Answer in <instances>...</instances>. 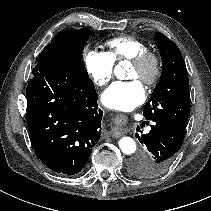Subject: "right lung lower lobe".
Instances as JSON below:
<instances>
[{"label": "right lung lower lobe", "instance_id": "1", "mask_svg": "<svg viewBox=\"0 0 211 211\" xmlns=\"http://www.w3.org/2000/svg\"><path fill=\"white\" fill-rule=\"evenodd\" d=\"M26 88L27 127L36 155L49 169L79 173L101 135L102 111L93 82L55 55L40 54Z\"/></svg>", "mask_w": 211, "mask_h": 211}]
</instances>
